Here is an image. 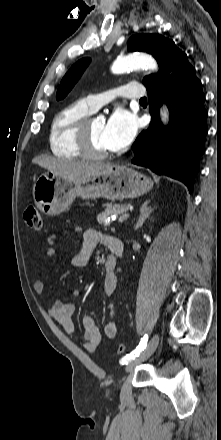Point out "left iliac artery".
Listing matches in <instances>:
<instances>
[{
  "label": "left iliac artery",
  "instance_id": "1",
  "mask_svg": "<svg viewBox=\"0 0 221 440\" xmlns=\"http://www.w3.org/2000/svg\"><path fill=\"white\" fill-rule=\"evenodd\" d=\"M147 341H148V335H145L141 339V341H140L139 345L136 347V349L133 352H131L130 354L126 355L124 358H122L120 363L121 364H128V362H130V361L134 360L136 357H138L140 352L146 348Z\"/></svg>",
  "mask_w": 221,
  "mask_h": 440
}]
</instances>
